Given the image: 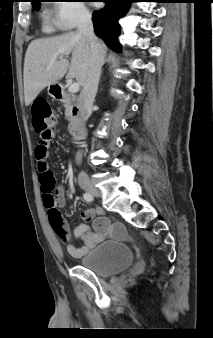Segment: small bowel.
I'll list each match as a JSON object with an SVG mask.
<instances>
[{"label": "small bowel", "mask_w": 213, "mask_h": 338, "mask_svg": "<svg viewBox=\"0 0 213 338\" xmlns=\"http://www.w3.org/2000/svg\"><path fill=\"white\" fill-rule=\"evenodd\" d=\"M54 139V135L51 134L49 137L40 139L36 148H35V158L37 163L39 162H46L49 160L50 157V144L51 141ZM66 199L64 190L62 187L57 189L56 193V207H62L65 205ZM49 211V210H48ZM50 214V211H49ZM81 216L84 221L89 222L94 218V211L92 209H84L81 212ZM110 228V224L104 219V217H100V221H98L94 225V230L87 224L79 225L75 231L74 235L80 237L83 241L82 246H78L76 243L71 242V235L69 231L68 224L63 221L62 225L56 228H53L57 235L65 240L68 241L67 250L73 256H81L86 253L89 249L99 244L101 241L106 239L108 234V229ZM113 233L117 236H120L124 239L129 238L128 231L119 226L116 227Z\"/></svg>", "instance_id": "c3829d8e"}]
</instances>
